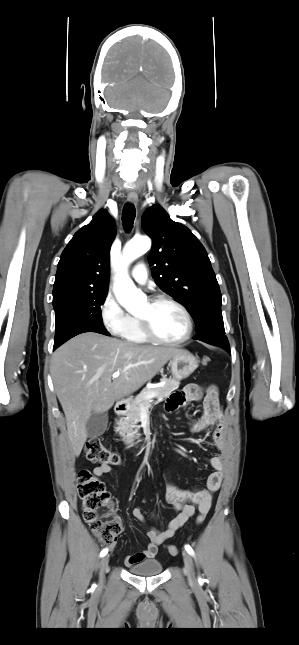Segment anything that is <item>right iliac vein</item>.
Wrapping results in <instances>:
<instances>
[{"label":"right iliac vein","instance_id":"right-iliac-vein-1","mask_svg":"<svg viewBox=\"0 0 299 645\" xmlns=\"http://www.w3.org/2000/svg\"><path fill=\"white\" fill-rule=\"evenodd\" d=\"M108 563H109V556L107 555V556H104L100 562V573H99L100 584L104 583L105 571L108 566Z\"/></svg>","mask_w":299,"mask_h":645}]
</instances>
